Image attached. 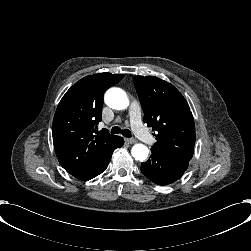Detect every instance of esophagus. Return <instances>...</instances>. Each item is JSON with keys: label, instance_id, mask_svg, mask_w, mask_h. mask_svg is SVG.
Wrapping results in <instances>:
<instances>
[{"label": "esophagus", "instance_id": "esophagus-1", "mask_svg": "<svg viewBox=\"0 0 251 251\" xmlns=\"http://www.w3.org/2000/svg\"><path fill=\"white\" fill-rule=\"evenodd\" d=\"M126 142H127L128 144H135V143H137V140L131 138V139H126Z\"/></svg>", "mask_w": 251, "mask_h": 251}]
</instances>
